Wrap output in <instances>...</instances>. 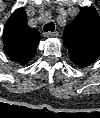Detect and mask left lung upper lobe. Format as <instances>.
Listing matches in <instances>:
<instances>
[{
	"instance_id": "obj_1",
	"label": "left lung upper lobe",
	"mask_w": 100,
	"mask_h": 118,
	"mask_svg": "<svg viewBox=\"0 0 100 118\" xmlns=\"http://www.w3.org/2000/svg\"><path fill=\"white\" fill-rule=\"evenodd\" d=\"M63 38L75 65L83 68L93 63L100 55V16L96 10L83 7L66 26Z\"/></svg>"
}]
</instances>
